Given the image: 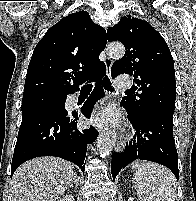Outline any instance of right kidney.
I'll return each instance as SVG.
<instances>
[{"instance_id":"1","label":"right kidney","mask_w":196,"mask_h":201,"mask_svg":"<svg viewBox=\"0 0 196 201\" xmlns=\"http://www.w3.org/2000/svg\"><path fill=\"white\" fill-rule=\"evenodd\" d=\"M59 201H74V197L72 195H66L60 198Z\"/></svg>"}]
</instances>
